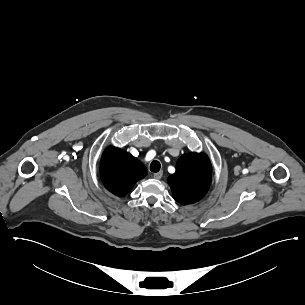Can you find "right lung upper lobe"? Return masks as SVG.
I'll list each match as a JSON object with an SVG mask.
<instances>
[{"label": "right lung upper lobe", "instance_id": "1", "mask_svg": "<svg viewBox=\"0 0 305 305\" xmlns=\"http://www.w3.org/2000/svg\"><path fill=\"white\" fill-rule=\"evenodd\" d=\"M100 175L105 187L122 197L130 192L138 180L147 175V169L130 153L108 147L102 155Z\"/></svg>", "mask_w": 305, "mask_h": 305}]
</instances>
